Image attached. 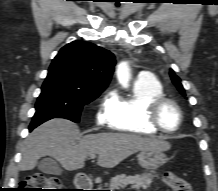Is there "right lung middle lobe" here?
Masks as SVG:
<instances>
[{"instance_id": "obj_1", "label": "right lung middle lobe", "mask_w": 218, "mask_h": 191, "mask_svg": "<svg viewBox=\"0 0 218 191\" xmlns=\"http://www.w3.org/2000/svg\"><path fill=\"white\" fill-rule=\"evenodd\" d=\"M41 89L30 124L33 128L55 117L79 122L83 106L102 93L100 90L83 88L63 74L50 70Z\"/></svg>"}]
</instances>
